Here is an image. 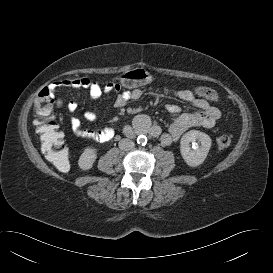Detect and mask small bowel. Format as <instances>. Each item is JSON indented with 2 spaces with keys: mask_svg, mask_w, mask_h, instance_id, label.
<instances>
[{
  "mask_svg": "<svg viewBox=\"0 0 273 273\" xmlns=\"http://www.w3.org/2000/svg\"><path fill=\"white\" fill-rule=\"evenodd\" d=\"M58 84L87 89L92 100L100 99L104 93L114 92L117 94L114 105L118 108L125 106L132 100L140 99L143 95V91L139 88L121 91V87H118L115 82H109L103 87L98 82L87 77L63 80ZM163 91L165 94L188 102L198 109L197 112L181 113V109L178 105L167 104L165 107L166 111L170 114L178 115V117L170 124L168 131L163 133L160 125L152 122L146 115H138L135 118L134 124L140 130L147 131L154 137H160V141L163 145H169L177 141L188 129L198 127L212 128L221 116L220 111L216 107L211 106L205 99L197 97L195 93L190 90H177L166 87ZM67 107L70 112H74L77 109V104L75 102H69ZM84 118L87 121L95 122L97 120V114L93 110L88 109L84 113ZM70 123L75 133L82 138L96 142H105L111 138V132L108 128L95 131L82 130L81 121L77 117H72Z\"/></svg>",
  "mask_w": 273,
  "mask_h": 273,
  "instance_id": "1",
  "label": "small bowel"
}]
</instances>
